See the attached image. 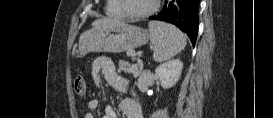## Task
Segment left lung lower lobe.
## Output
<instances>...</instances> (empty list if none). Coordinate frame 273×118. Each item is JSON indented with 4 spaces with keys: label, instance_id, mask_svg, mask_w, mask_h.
<instances>
[{
    "label": "left lung lower lobe",
    "instance_id": "0a47b994",
    "mask_svg": "<svg viewBox=\"0 0 273 118\" xmlns=\"http://www.w3.org/2000/svg\"><path fill=\"white\" fill-rule=\"evenodd\" d=\"M200 0H165L164 7L150 20L166 21L177 26L190 38L193 46L198 33V10Z\"/></svg>",
    "mask_w": 273,
    "mask_h": 118
}]
</instances>
